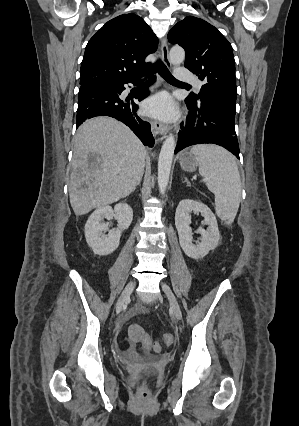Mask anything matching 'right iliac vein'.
I'll return each mask as SVG.
<instances>
[{
  "instance_id": "obj_1",
  "label": "right iliac vein",
  "mask_w": 299,
  "mask_h": 426,
  "mask_svg": "<svg viewBox=\"0 0 299 426\" xmlns=\"http://www.w3.org/2000/svg\"><path fill=\"white\" fill-rule=\"evenodd\" d=\"M135 287L134 282H130L126 285L125 289L123 290L121 296L118 299V302L116 304V310H120L123 305L129 300L133 290Z\"/></svg>"
}]
</instances>
